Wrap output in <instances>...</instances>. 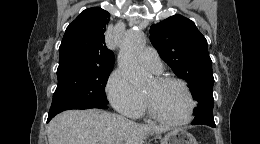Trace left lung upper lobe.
Wrapping results in <instances>:
<instances>
[{
  "label": "left lung upper lobe",
  "mask_w": 260,
  "mask_h": 144,
  "mask_svg": "<svg viewBox=\"0 0 260 144\" xmlns=\"http://www.w3.org/2000/svg\"><path fill=\"white\" fill-rule=\"evenodd\" d=\"M150 38L160 57L173 72L186 80L199 105L193 124L215 126L213 119L214 77L207 40L195 23L182 15L171 16L150 27Z\"/></svg>",
  "instance_id": "1"
}]
</instances>
